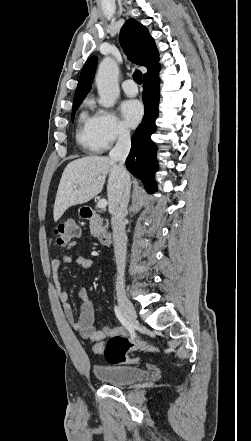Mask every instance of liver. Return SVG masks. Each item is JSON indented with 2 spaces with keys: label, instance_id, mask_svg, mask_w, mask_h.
<instances>
[{
  "label": "liver",
  "instance_id": "liver-1",
  "mask_svg": "<svg viewBox=\"0 0 251 441\" xmlns=\"http://www.w3.org/2000/svg\"><path fill=\"white\" fill-rule=\"evenodd\" d=\"M121 171L105 156L91 155L70 162L64 169L54 203L53 216L57 222L71 206L84 204L99 194L106 181L108 208L112 213L122 191Z\"/></svg>",
  "mask_w": 251,
  "mask_h": 441
}]
</instances>
